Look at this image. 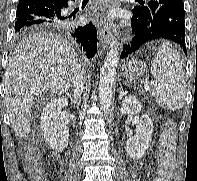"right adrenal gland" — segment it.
<instances>
[{
    "label": "right adrenal gland",
    "instance_id": "2a0ac1e0",
    "mask_svg": "<svg viewBox=\"0 0 197 181\" xmlns=\"http://www.w3.org/2000/svg\"><path fill=\"white\" fill-rule=\"evenodd\" d=\"M67 94L69 95V93H67ZM69 97H70L71 103H73L74 105H79L80 104V102L77 103L71 95H69Z\"/></svg>",
    "mask_w": 197,
    "mask_h": 181
}]
</instances>
